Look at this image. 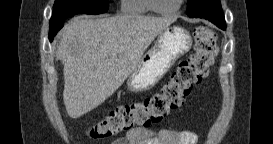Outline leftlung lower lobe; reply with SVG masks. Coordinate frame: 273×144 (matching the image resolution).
<instances>
[{"label": "left lung lower lobe", "instance_id": "left-lung-lower-lobe-1", "mask_svg": "<svg viewBox=\"0 0 273 144\" xmlns=\"http://www.w3.org/2000/svg\"><path fill=\"white\" fill-rule=\"evenodd\" d=\"M205 1H207L206 3H211L210 1L212 0H205ZM198 17L211 21L212 23H214L215 25H217L223 30L226 29V23H225L224 14L222 12V8H218V7L216 8L214 6H211L206 11H202L201 13H199L195 18H198Z\"/></svg>", "mask_w": 273, "mask_h": 144}]
</instances>
